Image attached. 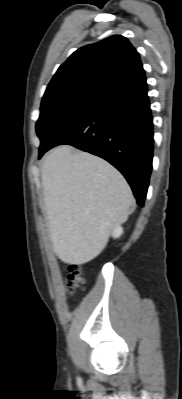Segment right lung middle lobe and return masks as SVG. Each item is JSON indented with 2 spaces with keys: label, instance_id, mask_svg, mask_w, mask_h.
<instances>
[{
  "label": "right lung middle lobe",
  "instance_id": "obj_1",
  "mask_svg": "<svg viewBox=\"0 0 182 399\" xmlns=\"http://www.w3.org/2000/svg\"><path fill=\"white\" fill-rule=\"evenodd\" d=\"M104 100L99 96L78 93L42 101L36 123V132L41 140L39 157L60 131L97 109Z\"/></svg>",
  "mask_w": 182,
  "mask_h": 399
}]
</instances>
